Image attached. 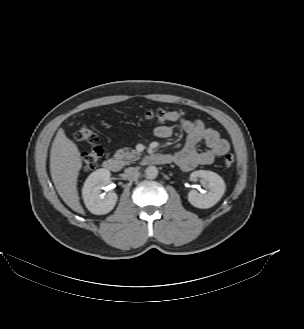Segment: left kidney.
<instances>
[{
    "label": "left kidney",
    "instance_id": "1",
    "mask_svg": "<svg viewBox=\"0 0 304 329\" xmlns=\"http://www.w3.org/2000/svg\"><path fill=\"white\" fill-rule=\"evenodd\" d=\"M192 181H197L201 178L207 182L206 194H200L196 190H191L188 193V201L191 205L201 209H207L214 206L224 195L226 185L221 176L212 171L197 170L191 173Z\"/></svg>",
    "mask_w": 304,
    "mask_h": 329
}]
</instances>
